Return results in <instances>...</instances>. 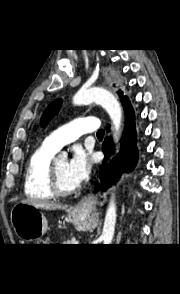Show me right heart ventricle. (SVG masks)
I'll use <instances>...</instances> for the list:
<instances>
[{
    "instance_id": "right-heart-ventricle-1",
    "label": "right heart ventricle",
    "mask_w": 180,
    "mask_h": 294,
    "mask_svg": "<svg viewBox=\"0 0 180 294\" xmlns=\"http://www.w3.org/2000/svg\"><path fill=\"white\" fill-rule=\"evenodd\" d=\"M56 150L43 143L30 156L26 167L24 192L26 196L50 201L55 195L48 186L49 167L56 154Z\"/></svg>"
}]
</instances>
